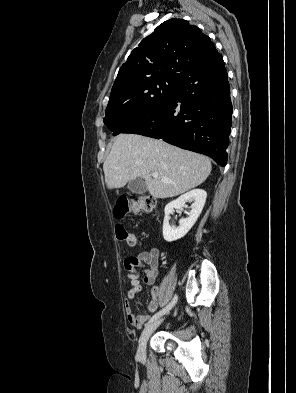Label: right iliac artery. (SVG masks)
Wrapping results in <instances>:
<instances>
[{
    "label": "right iliac artery",
    "mask_w": 296,
    "mask_h": 393,
    "mask_svg": "<svg viewBox=\"0 0 296 393\" xmlns=\"http://www.w3.org/2000/svg\"><path fill=\"white\" fill-rule=\"evenodd\" d=\"M177 299H178V297H177V295H175L174 298L172 299V301L166 307H164L162 310H160L159 312L154 314L147 324L156 321L159 317H161L162 315L167 313L176 304Z\"/></svg>",
    "instance_id": "right-iliac-artery-1"
}]
</instances>
